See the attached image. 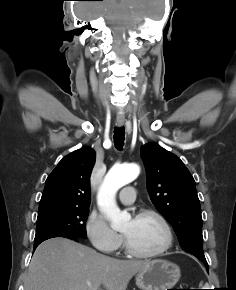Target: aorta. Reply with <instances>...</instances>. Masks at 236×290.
Wrapping results in <instances>:
<instances>
[{
    "label": "aorta",
    "mask_w": 236,
    "mask_h": 290,
    "mask_svg": "<svg viewBox=\"0 0 236 290\" xmlns=\"http://www.w3.org/2000/svg\"><path fill=\"white\" fill-rule=\"evenodd\" d=\"M140 168L136 164L115 165L105 176L97 195V203L105 214L112 229L121 230L131 219L127 211H121L117 206L115 196L123 186L134 181Z\"/></svg>",
    "instance_id": "aorta-1"
}]
</instances>
